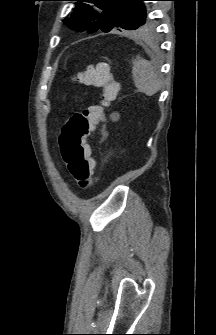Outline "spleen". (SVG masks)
I'll use <instances>...</instances> for the list:
<instances>
[{
  "mask_svg": "<svg viewBox=\"0 0 216 335\" xmlns=\"http://www.w3.org/2000/svg\"><path fill=\"white\" fill-rule=\"evenodd\" d=\"M132 77L138 91L153 96L161 88V80L151 63L139 56L132 62Z\"/></svg>",
  "mask_w": 216,
  "mask_h": 335,
  "instance_id": "obj_1",
  "label": "spleen"
}]
</instances>
